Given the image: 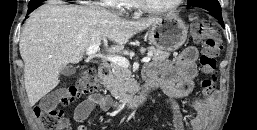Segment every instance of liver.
Returning a JSON list of instances; mask_svg holds the SVG:
<instances>
[{
	"instance_id": "liver-1",
	"label": "liver",
	"mask_w": 257,
	"mask_h": 130,
	"mask_svg": "<svg viewBox=\"0 0 257 130\" xmlns=\"http://www.w3.org/2000/svg\"><path fill=\"white\" fill-rule=\"evenodd\" d=\"M157 20H124L105 10L58 1L39 7L26 20L19 43L30 106L52 91L60 82L61 69L79 63L90 46L109 39L115 45L107 52L119 53L130 38Z\"/></svg>"
}]
</instances>
